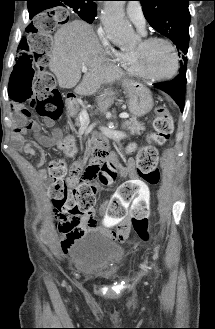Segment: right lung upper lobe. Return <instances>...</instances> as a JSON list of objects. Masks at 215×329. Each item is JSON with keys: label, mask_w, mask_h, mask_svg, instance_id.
<instances>
[{"label": "right lung upper lobe", "mask_w": 215, "mask_h": 329, "mask_svg": "<svg viewBox=\"0 0 215 329\" xmlns=\"http://www.w3.org/2000/svg\"><path fill=\"white\" fill-rule=\"evenodd\" d=\"M36 1H40V4L42 5L43 10L49 9L52 7H63L65 5L66 1H77V2H81V3L85 4L89 8H92L94 10V12L96 13L95 1H97V0H36Z\"/></svg>", "instance_id": "1"}]
</instances>
